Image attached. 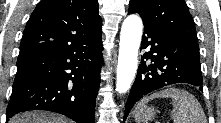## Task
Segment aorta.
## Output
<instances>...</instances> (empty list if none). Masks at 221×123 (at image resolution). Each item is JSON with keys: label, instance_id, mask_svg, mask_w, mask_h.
Segmentation results:
<instances>
[{"label": "aorta", "instance_id": "aorta-1", "mask_svg": "<svg viewBox=\"0 0 221 123\" xmlns=\"http://www.w3.org/2000/svg\"><path fill=\"white\" fill-rule=\"evenodd\" d=\"M142 30L143 23L138 15H129L122 24L116 77V91L120 94L130 89L135 78Z\"/></svg>", "mask_w": 221, "mask_h": 123}]
</instances>
